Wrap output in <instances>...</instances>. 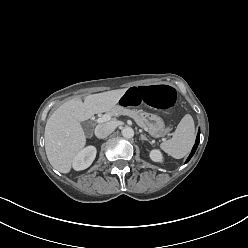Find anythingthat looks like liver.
Returning a JSON list of instances; mask_svg holds the SVG:
<instances>
[{"label": "liver", "instance_id": "obj_1", "mask_svg": "<svg viewBox=\"0 0 248 248\" xmlns=\"http://www.w3.org/2000/svg\"><path fill=\"white\" fill-rule=\"evenodd\" d=\"M126 90L91 94L84 98V102L77 96L52 113L45 126L44 140L46 155L53 168L61 173L70 172L75 156L86 145V135L80 122L111 110Z\"/></svg>", "mask_w": 248, "mask_h": 248}]
</instances>
